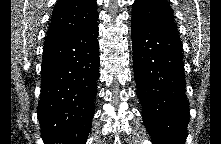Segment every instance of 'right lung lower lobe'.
<instances>
[{
	"label": "right lung lower lobe",
	"mask_w": 221,
	"mask_h": 144,
	"mask_svg": "<svg viewBox=\"0 0 221 144\" xmlns=\"http://www.w3.org/2000/svg\"><path fill=\"white\" fill-rule=\"evenodd\" d=\"M97 24L87 31L44 48L41 96L37 108L47 144H85L94 115L99 79Z\"/></svg>",
	"instance_id": "98d812e1"
}]
</instances>
